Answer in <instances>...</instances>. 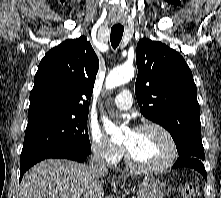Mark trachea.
Instances as JSON below:
<instances>
[{
    "label": "trachea",
    "mask_w": 221,
    "mask_h": 198,
    "mask_svg": "<svg viewBox=\"0 0 221 198\" xmlns=\"http://www.w3.org/2000/svg\"><path fill=\"white\" fill-rule=\"evenodd\" d=\"M123 32H124V27L122 26H113L111 28V37H110V41H111V45L114 49L117 48V46L119 45L122 36H123Z\"/></svg>",
    "instance_id": "obj_1"
}]
</instances>
